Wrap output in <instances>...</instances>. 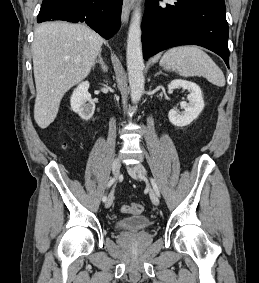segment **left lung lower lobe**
<instances>
[{"label": "left lung lower lobe", "mask_w": 259, "mask_h": 283, "mask_svg": "<svg viewBox=\"0 0 259 283\" xmlns=\"http://www.w3.org/2000/svg\"><path fill=\"white\" fill-rule=\"evenodd\" d=\"M146 0L142 22L143 57L180 45H199L229 67L228 24L224 0H178L173 5Z\"/></svg>", "instance_id": "1"}]
</instances>
